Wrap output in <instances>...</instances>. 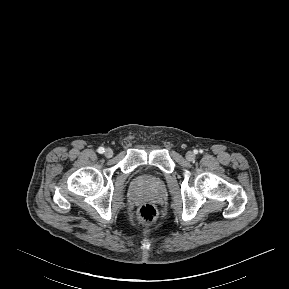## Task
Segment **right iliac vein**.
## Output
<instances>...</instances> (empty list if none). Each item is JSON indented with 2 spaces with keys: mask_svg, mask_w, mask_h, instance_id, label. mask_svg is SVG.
Listing matches in <instances>:
<instances>
[{
  "mask_svg": "<svg viewBox=\"0 0 289 289\" xmlns=\"http://www.w3.org/2000/svg\"><path fill=\"white\" fill-rule=\"evenodd\" d=\"M104 155H105L107 158H111V157L113 156V151H112V149L107 148V149L105 150Z\"/></svg>",
  "mask_w": 289,
  "mask_h": 289,
  "instance_id": "63e3f726",
  "label": "right iliac vein"
}]
</instances>
